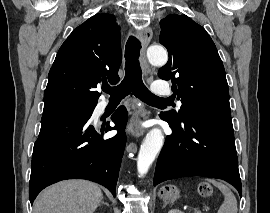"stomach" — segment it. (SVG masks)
Masks as SVG:
<instances>
[{
  "label": "stomach",
  "instance_id": "stomach-1",
  "mask_svg": "<svg viewBox=\"0 0 270 213\" xmlns=\"http://www.w3.org/2000/svg\"><path fill=\"white\" fill-rule=\"evenodd\" d=\"M159 196L162 198L165 202H174L176 199L179 198V190L176 186L173 185H167L160 189Z\"/></svg>",
  "mask_w": 270,
  "mask_h": 213
}]
</instances>
